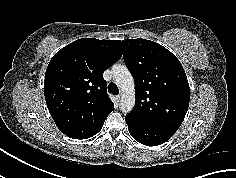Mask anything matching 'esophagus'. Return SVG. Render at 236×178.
Masks as SVG:
<instances>
[{"mask_svg":"<svg viewBox=\"0 0 236 178\" xmlns=\"http://www.w3.org/2000/svg\"><path fill=\"white\" fill-rule=\"evenodd\" d=\"M116 99H117V101L119 102L120 99H121V96H120V95L116 96Z\"/></svg>","mask_w":236,"mask_h":178,"instance_id":"1","label":"esophagus"}]
</instances>
